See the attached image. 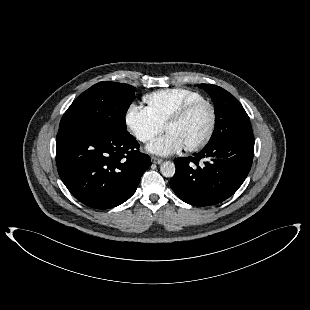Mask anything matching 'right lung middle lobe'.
Instances as JSON below:
<instances>
[{"mask_svg":"<svg viewBox=\"0 0 310 310\" xmlns=\"http://www.w3.org/2000/svg\"><path fill=\"white\" fill-rule=\"evenodd\" d=\"M133 86L103 81L83 92L64 113L59 129L87 127L112 136L129 134L125 115L134 99Z\"/></svg>","mask_w":310,"mask_h":310,"instance_id":"obj_1","label":"right lung middle lobe"}]
</instances>
